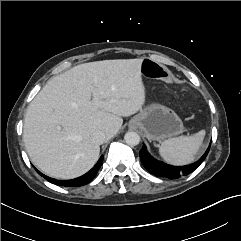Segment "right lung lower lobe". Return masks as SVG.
I'll use <instances>...</instances> for the list:
<instances>
[{
  "label": "right lung lower lobe",
  "mask_w": 241,
  "mask_h": 241,
  "mask_svg": "<svg viewBox=\"0 0 241 241\" xmlns=\"http://www.w3.org/2000/svg\"><path fill=\"white\" fill-rule=\"evenodd\" d=\"M102 163H103V156L100 157V159L98 160L96 165L89 172H87L86 174L82 175L81 177L75 178L73 180L60 181V180H56V179L47 177L45 175H43V176L47 181H49L53 184H56V185H61V186H65V187L82 186V185L89 183L96 176Z\"/></svg>",
  "instance_id": "right-lung-lower-lobe-1"
}]
</instances>
